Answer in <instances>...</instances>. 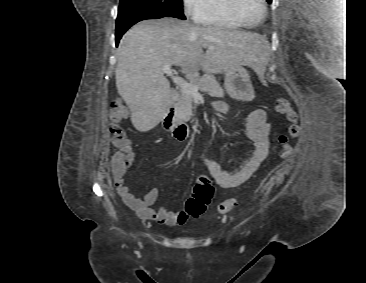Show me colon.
<instances>
[{
    "mask_svg": "<svg viewBox=\"0 0 366 283\" xmlns=\"http://www.w3.org/2000/svg\"><path fill=\"white\" fill-rule=\"evenodd\" d=\"M275 109L279 114L285 116L289 122L286 131L278 137L280 156L286 158L292 152L291 140L299 133L298 117L287 99H278ZM125 115L126 109L123 104L117 100L113 101L109 108V131L111 134V143L119 149V152L116 154V162L121 167H128L133 158L131 142L120 125V121ZM213 194L214 186L211 180L205 175H200L196 180L192 196L186 201L185 215L193 218L200 217L210 203ZM235 205L236 202L234 199L226 200L218 205L217 212L225 214L232 210Z\"/></svg>",
    "mask_w": 366,
    "mask_h": 283,
    "instance_id": "5ec220e1",
    "label": "colon"
}]
</instances>
